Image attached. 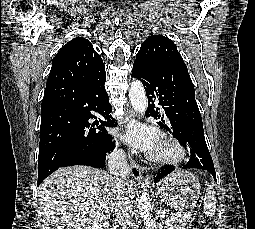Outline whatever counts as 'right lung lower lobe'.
Returning a JSON list of instances; mask_svg holds the SVG:
<instances>
[{"mask_svg": "<svg viewBox=\"0 0 255 229\" xmlns=\"http://www.w3.org/2000/svg\"><path fill=\"white\" fill-rule=\"evenodd\" d=\"M105 67L90 77L82 91L72 100L41 109V124L47 120L72 115L79 121L68 148L59 163L51 167L38 164L39 185L46 177L60 167L87 165L102 168L107 153L115 147L106 127H115L111 118V105L104 84ZM97 115L101 118L97 119ZM89 119H97L92 124Z\"/></svg>", "mask_w": 255, "mask_h": 229, "instance_id": "98d812e1", "label": "right lung lower lobe"}]
</instances>
